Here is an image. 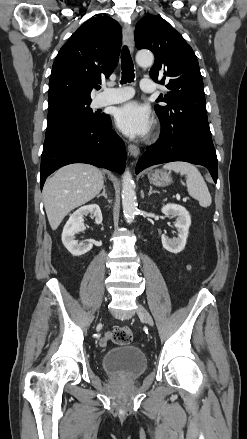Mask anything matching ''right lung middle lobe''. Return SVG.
Wrapping results in <instances>:
<instances>
[{
  "label": "right lung middle lobe",
  "instance_id": "right-lung-middle-lobe-1",
  "mask_svg": "<svg viewBox=\"0 0 247 439\" xmlns=\"http://www.w3.org/2000/svg\"><path fill=\"white\" fill-rule=\"evenodd\" d=\"M90 104L91 101H76L49 110L46 135L74 126L100 122L104 114L94 113Z\"/></svg>",
  "mask_w": 247,
  "mask_h": 439
}]
</instances>
